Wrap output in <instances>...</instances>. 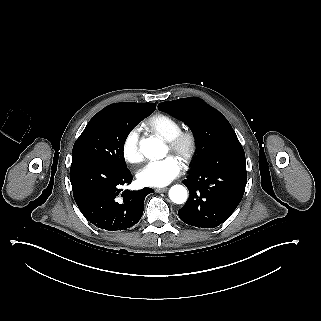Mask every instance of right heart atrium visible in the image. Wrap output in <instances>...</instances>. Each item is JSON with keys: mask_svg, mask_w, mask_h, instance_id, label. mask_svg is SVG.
Here are the masks:
<instances>
[{"mask_svg": "<svg viewBox=\"0 0 321 321\" xmlns=\"http://www.w3.org/2000/svg\"><path fill=\"white\" fill-rule=\"evenodd\" d=\"M121 153L129 163H136L142 160L143 152L140 146V129L138 127L131 128L123 137Z\"/></svg>", "mask_w": 321, "mask_h": 321, "instance_id": "d8ad5b80", "label": "right heart atrium"}]
</instances>
